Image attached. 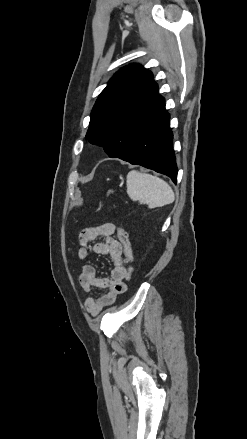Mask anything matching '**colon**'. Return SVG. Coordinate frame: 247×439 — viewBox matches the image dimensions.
Returning <instances> with one entry per match:
<instances>
[{"label":"colon","instance_id":"1","mask_svg":"<svg viewBox=\"0 0 247 439\" xmlns=\"http://www.w3.org/2000/svg\"><path fill=\"white\" fill-rule=\"evenodd\" d=\"M109 226L110 229L116 233L118 241L122 244L125 263L127 265L132 264L134 258L133 249L128 233L123 228L117 227L115 224L110 223Z\"/></svg>","mask_w":247,"mask_h":439}]
</instances>
